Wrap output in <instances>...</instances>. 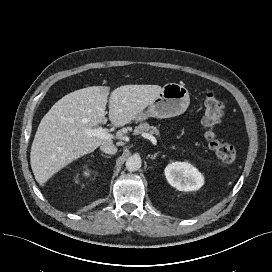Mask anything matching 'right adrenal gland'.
<instances>
[{
    "label": "right adrenal gland",
    "instance_id": "2a0ac1e0",
    "mask_svg": "<svg viewBox=\"0 0 272 272\" xmlns=\"http://www.w3.org/2000/svg\"><path fill=\"white\" fill-rule=\"evenodd\" d=\"M101 156L104 157V158H110V156H107V155H105L103 153L101 154Z\"/></svg>",
    "mask_w": 272,
    "mask_h": 272
}]
</instances>
